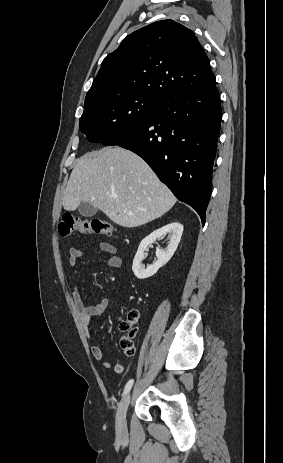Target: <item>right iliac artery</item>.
Instances as JSON below:
<instances>
[{
	"label": "right iliac artery",
	"mask_w": 283,
	"mask_h": 463,
	"mask_svg": "<svg viewBox=\"0 0 283 463\" xmlns=\"http://www.w3.org/2000/svg\"><path fill=\"white\" fill-rule=\"evenodd\" d=\"M133 382H134L133 379H131V380H129V381L127 382V384H126V386H125V388H124L123 395L127 394V393L130 391V389H131V387H132V385H133Z\"/></svg>",
	"instance_id": "right-iliac-artery-1"
}]
</instances>
